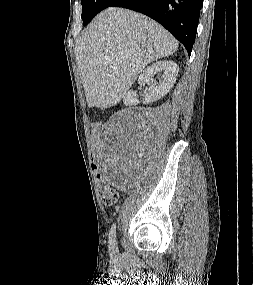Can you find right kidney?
Returning <instances> with one entry per match:
<instances>
[{
	"label": "right kidney",
	"instance_id": "obj_1",
	"mask_svg": "<svg viewBox=\"0 0 253 285\" xmlns=\"http://www.w3.org/2000/svg\"><path fill=\"white\" fill-rule=\"evenodd\" d=\"M179 72L178 65L171 60L157 61L147 67L139 76L138 83L142 84L146 80L153 79L154 75L163 73L159 82L153 83L145 93L142 100L143 104L153 103L164 97L172 88ZM134 91H129L124 97L125 105H136L139 101L136 99Z\"/></svg>",
	"mask_w": 253,
	"mask_h": 285
}]
</instances>
